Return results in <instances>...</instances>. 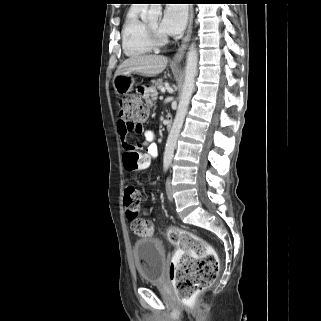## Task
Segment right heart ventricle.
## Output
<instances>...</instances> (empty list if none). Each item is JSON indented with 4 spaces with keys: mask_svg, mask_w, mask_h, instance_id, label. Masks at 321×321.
Segmentation results:
<instances>
[{
    "mask_svg": "<svg viewBox=\"0 0 321 321\" xmlns=\"http://www.w3.org/2000/svg\"><path fill=\"white\" fill-rule=\"evenodd\" d=\"M145 9L144 5H133L125 17L121 31L122 48L129 57L143 56L154 49L147 37L146 23L140 17Z\"/></svg>",
    "mask_w": 321,
    "mask_h": 321,
    "instance_id": "1",
    "label": "right heart ventricle"
}]
</instances>
